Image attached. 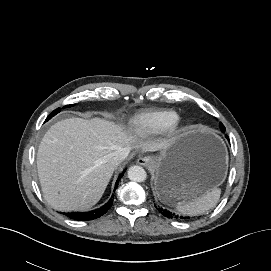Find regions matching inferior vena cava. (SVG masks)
<instances>
[{
    "mask_svg": "<svg viewBox=\"0 0 271 271\" xmlns=\"http://www.w3.org/2000/svg\"><path fill=\"white\" fill-rule=\"evenodd\" d=\"M129 152L128 148L117 150L109 156V162L116 167L128 157Z\"/></svg>",
    "mask_w": 271,
    "mask_h": 271,
    "instance_id": "obj_1",
    "label": "inferior vena cava"
}]
</instances>
